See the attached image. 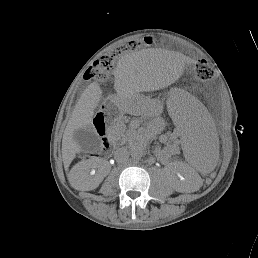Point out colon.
<instances>
[{
	"instance_id": "5ec220e1",
	"label": "colon",
	"mask_w": 258,
	"mask_h": 258,
	"mask_svg": "<svg viewBox=\"0 0 258 258\" xmlns=\"http://www.w3.org/2000/svg\"><path fill=\"white\" fill-rule=\"evenodd\" d=\"M154 42L150 36L139 40H131L120 47L114 48L110 53L100 56L93 65L85 72L86 79L104 81L113 69L115 59L123 52L135 50L141 46H149ZM194 76L200 81L211 78L212 69L206 62H198L194 67Z\"/></svg>"
}]
</instances>
